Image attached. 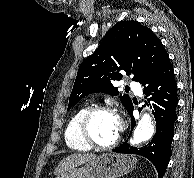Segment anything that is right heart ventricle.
<instances>
[{
  "label": "right heart ventricle",
  "mask_w": 194,
  "mask_h": 178,
  "mask_svg": "<svg viewBox=\"0 0 194 178\" xmlns=\"http://www.w3.org/2000/svg\"><path fill=\"white\" fill-rule=\"evenodd\" d=\"M89 107L83 106L79 108L70 118L65 129L64 137L67 146L75 151H87L91 147L87 145L79 135V122Z\"/></svg>",
  "instance_id": "e07e8e85"
}]
</instances>
